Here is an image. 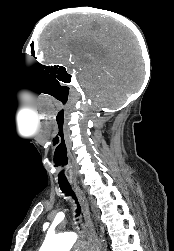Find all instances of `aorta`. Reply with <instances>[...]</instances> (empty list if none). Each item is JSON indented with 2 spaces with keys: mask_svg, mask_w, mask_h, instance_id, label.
<instances>
[{
  "mask_svg": "<svg viewBox=\"0 0 174 251\" xmlns=\"http://www.w3.org/2000/svg\"><path fill=\"white\" fill-rule=\"evenodd\" d=\"M76 240L73 232L58 234L46 239L39 251H70Z\"/></svg>",
  "mask_w": 174,
  "mask_h": 251,
  "instance_id": "obj_1",
  "label": "aorta"
}]
</instances>
